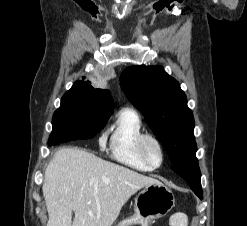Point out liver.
Instances as JSON below:
<instances>
[{
  "instance_id": "1",
  "label": "liver",
  "mask_w": 247,
  "mask_h": 226,
  "mask_svg": "<svg viewBox=\"0 0 247 226\" xmlns=\"http://www.w3.org/2000/svg\"><path fill=\"white\" fill-rule=\"evenodd\" d=\"M158 182L87 151L60 148L44 175L47 226H112L133 194Z\"/></svg>"
}]
</instances>
